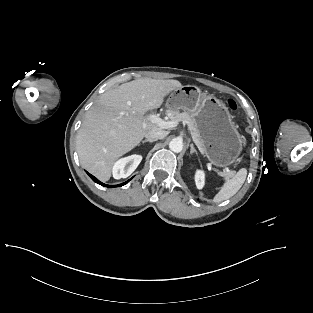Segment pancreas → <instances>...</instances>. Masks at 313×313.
<instances>
[{
  "mask_svg": "<svg viewBox=\"0 0 313 313\" xmlns=\"http://www.w3.org/2000/svg\"><path fill=\"white\" fill-rule=\"evenodd\" d=\"M170 118L172 120H177V121H182L183 123H187L189 125V127L191 128L198 145L203 150V145H202V142L200 140V135H199V132L197 129L196 121L192 115H190L187 112H178V113L170 115ZM232 174L233 173L226 174V175L231 176Z\"/></svg>",
  "mask_w": 313,
  "mask_h": 313,
  "instance_id": "1",
  "label": "pancreas"
}]
</instances>
